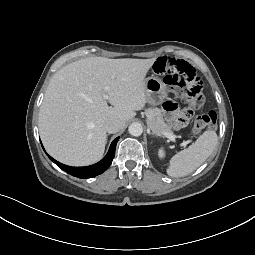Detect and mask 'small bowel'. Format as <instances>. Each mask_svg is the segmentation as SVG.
<instances>
[{
	"instance_id": "small-bowel-1",
	"label": "small bowel",
	"mask_w": 255,
	"mask_h": 255,
	"mask_svg": "<svg viewBox=\"0 0 255 255\" xmlns=\"http://www.w3.org/2000/svg\"><path fill=\"white\" fill-rule=\"evenodd\" d=\"M168 117L177 128L184 127L193 118V113L188 108H177L174 103H167L165 106Z\"/></svg>"
}]
</instances>
